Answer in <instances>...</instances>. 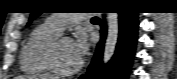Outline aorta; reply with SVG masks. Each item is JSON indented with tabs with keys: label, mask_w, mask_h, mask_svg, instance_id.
I'll list each match as a JSON object with an SVG mask.
<instances>
[{
	"label": "aorta",
	"mask_w": 177,
	"mask_h": 79,
	"mask_svg": "<svg viewBox=\"0 0 177 79\" xmlns=\"http://www.w3.org/2000/svg\"><path fill=\"white\" fill-rule=\"evenodd\" d=\"M119 36L118 13L107 14V37L103 52V63L107 64L115 53Z\"/></svg>",
	"instance_id": "762f6f07"
}]
</instances>
